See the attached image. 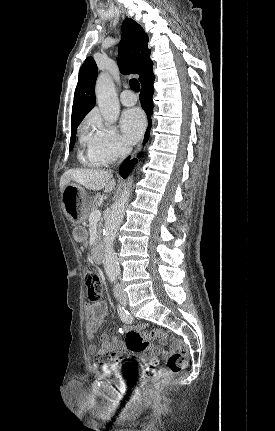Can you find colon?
<instances>
[{"label":"colon","instance_id":"1","mask_svg":"<svg viewBox=\"0 0 275 431\" xmlns=\"http://www.w3.org/2000/svg\"><path fill=\"white\" fill-rule=\"evenodd\" d=\"M84 277L88 297L91 300L99 299L103 293V281L100 273L96 269L85 268ZM151 339L167 340L177 347L178 351L168 357L165 369H159L157 361L151 360L147 364L145 373L150 378V381L146 386V391L149 394L160 391L168 383L171 376L182 371L188 363L187 345L181 339L172 337L161 330H153L147 333L131 330L126 334L125 343L127 348L134 353L158 350V347L149 342ZM102 359L105 360V357Z\"/></svg>","mask_w":275,"mask_h":431}]
</instances>
